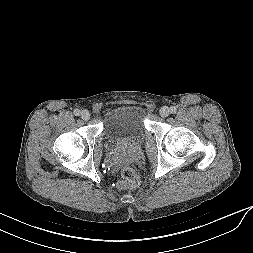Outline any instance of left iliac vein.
I'll return each instance as SVG.
<instances>
[{
    "label": "left iliac vein",
    "instance_id": "1",
    "mask_svg": "<svg viewBox=\"0 0 253 253\" xmlns=\"http://www.w3.org/2000/svg\"><path fill=\"white\" fill-rule=\"evenodd\" d=\"M170 113H171V111H170L169 107H167V106L161 107V109H160L161 117L165 118V117L169 116Z\"/></svg>",
    "mask_w": 253,
    "mask_h": 253
}]
</instances>
